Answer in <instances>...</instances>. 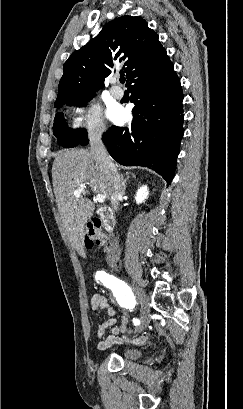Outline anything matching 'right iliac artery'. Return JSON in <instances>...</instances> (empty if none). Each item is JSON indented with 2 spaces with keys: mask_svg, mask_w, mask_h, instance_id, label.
Returning <instances> with one entry per match:
<instances>
[{
  "mask_svg": "<svg viewBox=\"0 0 243 409\" xmlns=\"http://www.w3.org/2000/svg\"><path fill=\"white\" fill-rule=\"evenodd\" d=\"M95 278L98 282H102L104 286L112 290L114 296L121 306L129 309L135 306V297L130 287L124 281L104 271H97L95 274ZM133 322L134 325L140 324L139 319H134Z\"/></svg>",
  "mask_w": 243,
  "mask_h": 409,
  "instance_id": "right-iliac-artery-1",
  "label": "right iliac artery"
}]
</instances>
